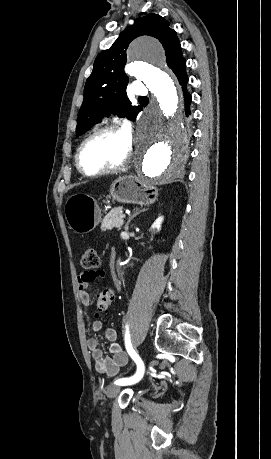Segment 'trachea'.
Segmentation results:
<instances>
[{
	"label": "trachea",
	"mask_w": 271,
	"mask_h": 459,
	"mask_svg": "<svg viewBox=\"0 0 271 459\" xmlns=\"http://www.w3.org/2000/svg\"><path fill=\"white\" fill-rule=\"evenodd\" d=\"M140 99H147V97H140Z\"/></svg>",
	"instance_id": "3493384b"
}]
</instances>
